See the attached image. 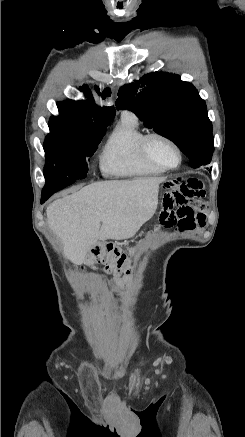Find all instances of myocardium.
I'll return each instance as SVG.
<instances>
[{
    "label": "myocardium",
    "mask_w": 245,
    "mask_h": 437,
    "mask_svg": "<svg viewBox=\"0 0 245 437\" xmlns=\"http://www.w3.org/2000/svg\"><path fill=\"white\" fill-rule=\"evenodd\" d=\"M154 139L162 140V141L168 143L169 145H171L176 150V152L178 154V162L176 165H174V166L165 165L152 156V154L150 153V150H149V144ZM140 151H141V154L143 155V157L148 162H150L151 164H153L157 167H160L164 170H174V169L178 168L182 163L183 155H182V150L179 147V145L169 136L162 134V133H159V132H151V133L145 134L140 142Z\"/></svg>",
    "instance_id": "obj_1"
}]
</instances>
